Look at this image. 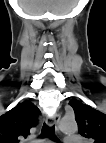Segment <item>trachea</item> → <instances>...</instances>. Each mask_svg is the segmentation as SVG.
<instances>
[{"mask_svg":"<svg viewBox=\"0 0 106 143\" xmlns=\"http://www.w3.org/2000/svg\"><path fill=\"white\" fill-rule=\"evenodd\" d=\"M41 137H48L53 141H57V138L55 136V127H48L45 123L43 124L42 130H41Z\"/></svg>","mask_w":106,"mask_h":143,"instance_id":"3493384b","label":"trachea"}]
</instances>
